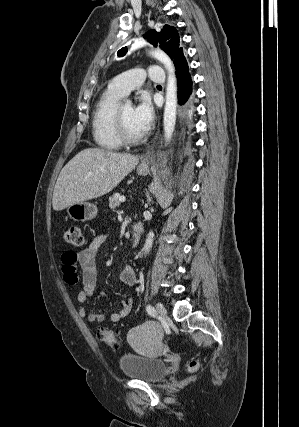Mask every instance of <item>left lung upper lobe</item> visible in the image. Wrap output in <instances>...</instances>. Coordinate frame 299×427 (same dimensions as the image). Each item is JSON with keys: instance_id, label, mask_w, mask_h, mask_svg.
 Returning <instances> with one entry per match:
<instances>
[{"instance_id": "1", "label": "left lung upper lobe", "mask_w": 299, "mask_h": 427, "mask_svg": "<svg viewBox=\"0 0 299 427\" xmlns=\"http://www.w3.org/2000/svg\"><path fill=\"white\" fill-rule=\"evenodd\" d=\"M144 38H148L149 42L154 46L160 44L161 49H163L171 59H174L176 52L179 49V36L178 31L175 27L165 25L161 32L155 30L148 31ZM125 53H118V56H123Z\"/></svg>"}]
</instances>
